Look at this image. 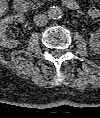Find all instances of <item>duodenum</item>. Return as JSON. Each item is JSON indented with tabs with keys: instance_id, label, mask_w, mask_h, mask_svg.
<instances>
[{
	"instance_id": "duodenum-1",
	"label": "duodenum",
	"mask_w": 100,
	"mask_h": 118,
	"mask_svg": "<svg viewBox=\"0 0 100 118\" xmlns=\"http://www.w3.org/2000/svg\"><path fill=\"white\" fill-rule=\"evenodd\" d=\"M63 3L67 8L72 10L77 9L78 7L75 0H64ZM14 9L19 15H27L31 12V7L25 0H16Z\"/></svg>"
}]
</instances>
